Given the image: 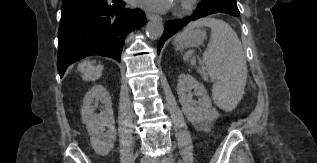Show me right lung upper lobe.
I'll return each instance as SVG.
<instances>
[{
    "label": "right lung upper lobe",
    "instance_id": "1",
    "mask_svg": "<svg viewBox=\"0 0 317 163\" xmlns=\"http://www.w3.org/2000/svg\"><path fill=\"white\" fill-rule=\"evenodd\" d=\"M69 1H72V0H63V2H69Z\"/></svg>",
    "mask_w": 317,
    "mask_h": 163
}]
</instances>
